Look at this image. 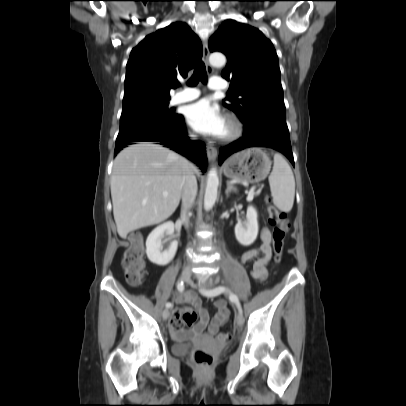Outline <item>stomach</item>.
<instances>
[{
    "label": "stomach",
    "instance_id": "stomach-1",
    "mask_svg": "<svg viewBox=\"0 0 406 406\" xmlns=\"http://www.w3.org/2000/svg\"><path fill=\"white\" fill-rule=\"evenodd\" d=\"M271 160L261 148L253 147L232 155L223 165L224 175L242 182L256 183L270 172Z\"/></svg>",
    "mask_w": 406,
    "mask_h": 406
}]
</instances>
